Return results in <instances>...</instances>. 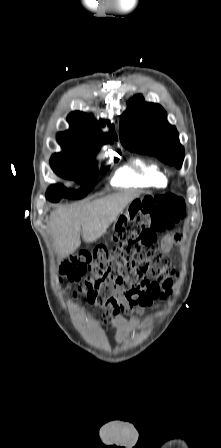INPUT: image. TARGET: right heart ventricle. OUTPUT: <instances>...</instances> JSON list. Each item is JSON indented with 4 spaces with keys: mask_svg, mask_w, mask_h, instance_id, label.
Masks as SVG:
<instances>
[{
    "mask_svg": "<svg viewBox=\"0 0 221 448\" xmlns=\"http://www.w3.org/2000/svg\"><path fill=\"white\" fill-rule=\"evenodd\" d=\"M112 184L121 187H164L166 180L156 165L134 159L115 174Z\"/></svg>",
    "mask_w": 221,
    "mask_h": 448,
    "instance_id": "obj_1",
    "label": "right heart ventricle"
}]
</instances>
